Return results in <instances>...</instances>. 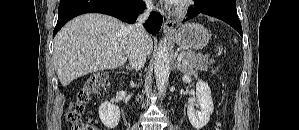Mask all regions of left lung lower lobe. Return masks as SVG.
<instances>
[{
    "instance_id": "0a47b994",
    "label": "left lung lower lobe",
    "mask_w": 299,
    "mask_h": 130,
    "mask_svg": "<svg viewBox=\"0 0 299 130\" xmlns=\"http://www.w3.org/2000/svg\"><path fill=\"white\" fill-rule=\"evenodd\" d=\"M195 2V7L188 9L190 15L185 21L194 18L200 13L206 14L225 21L243 36L242 27L236 13L235 0H195Z\"/></svg>"
}]
</instances>
